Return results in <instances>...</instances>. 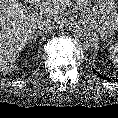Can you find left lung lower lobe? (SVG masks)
<instances>
[{"mask_svg":"<svg viewBox=\"0 0 118 118\" xmlns=\"http://www.w3.org/2000/svg\"><path fill=\"white\" fill-rule=\"evenodd\" d=\"M92 70H93L94 73H97L98 76L102 78V75H100L94 68H92ZM107 79H109V78H107Z\"/></svg>","mask_w":118,"mask_h":118,"instance_id":"1","label":"left lung lower lobe"}]
</instances>
